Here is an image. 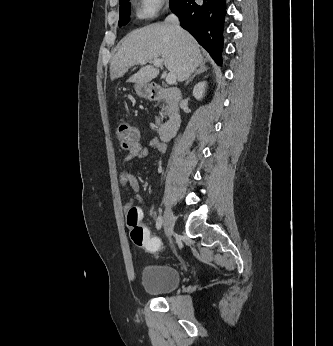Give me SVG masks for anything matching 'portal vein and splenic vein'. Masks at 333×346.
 Segmentation results:
<instances>
[{
	"mask_svg": "<svg viewBox=\"0 0 333 346\" xmlns=\"http://www.w3.org/2000/svg\"><path fill=\"white\" fill-rule=\"evenodd\" d=\"M146 61L143 60L141 61L140 63L141 64H144ZM153 64L156 66V67H162L163 65V62L161 59L159 58H156L153 60ZM166 83L169 84V85H173L176 83V75L174 73H168L166 75Z\"/></svg>",
	"mask_w": 333,
	"mask_h": 346,
	"instance_id": "18ae733b",
	"label": "portal vein and splenic vein"
}]
</instances>
